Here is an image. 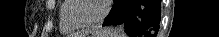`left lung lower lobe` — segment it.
<instances>
[{"label":"left lung lower lobe","mask_w":219,"mask_h":37,"mask_svg":"<svg viewBox=\"0 0 219 37\" xmlns=\"http://www.w3.org/2000/svg\"><path fill=\"white\" fill-rule=\"evenodd\" d=\"M161 0H116L103 26L121 25L131 37H156Z\"/></svg>","instance_id":"1"}]
</instances>
